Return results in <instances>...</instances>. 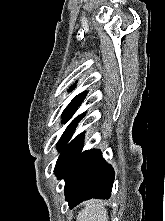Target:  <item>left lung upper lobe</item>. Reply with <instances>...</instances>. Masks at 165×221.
<instances>
[{"label":"left lung upper lobe","mask_w":165,"mask_h":221,"mask_svg":"<svg viewBox=\"0 0 165 221\" xmlns=\"http://www.w3.org/2000/svg\"><path fill=\"white\" fill-rule=\"evenodd\" d=\"M74 87H71V89H73ZM87 95V92H83L79 95H77L71 102L70 104L66 107V109L63 112V120L62 122H66L70 116L73 115V113L77 110V108L81 105V103L83 102L85 96ZM85 113H83L82 115L78 116L77 118H75L71 124L67 127V129L65 130V132L63 133V135L70 130L72 127H74L83 117H84Z\"/></svg>","instance_id":"left-lung-upper-lobe-1"}]
</instances>
